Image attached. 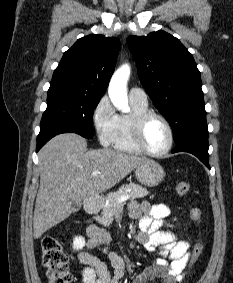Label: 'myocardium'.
<instances>
[{"mask_svg": "<svg viewBox=\"0 0 233 283\" xmlns=\"http://www.w3.org/2000/svg\"><path fill=\"white\" fill-rule=\"evenodd\" d=\"M159 119L161 120L164 125L166 126L168 133H169V142L166 148L162 151L155 152L151 151L147 148L144 142V131L148 122L152 119ZM132 138L136 147L144 154L149 156H163L167 154L173 147L174 144V132L173 128L168 121V119L160 113L154 111H146L140 114H137L132 121Z\"/></svg>", "mask_w": 233, "mask_h": 283, "instance_id": "obj_1", "label": "myocardium"}]
</instances>
